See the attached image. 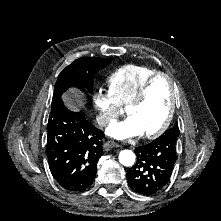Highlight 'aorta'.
Listing matches in <instances>:
<instances>
[{
    "mask_svg": "<svg viewBox=\"0 0 221 221\" xmlns=\"http://www.w3.org/2000/svg\"><path fill=\"white\" fill-rule=\"evenodd\" d=\"M119 162L124 166H132L135 163V154L131 150H122L119 153Z\"/></svg>",
    "mask_w": 221,
    "mask_h": 221,
    "instance_id": "aorta-1",
    "label": "aorta"
}]
</instances>
